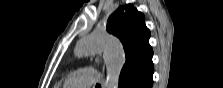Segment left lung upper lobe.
<instances>
[{"label": "left lung upper lobe", "instance_id": "5c2ea615", "mask_svg": "<svg viewBox=\"0 0 223 88\" xmlns=\"http://www.w3.org/2000/svg\"><path fill=\"white\" fill-rule=\"evenodd\" d=\"M106 29L120 39L125 50L126 62L120 78L133 70L143 69L152 61L150 31L144 23V15L133 5L119 7L109 17Z\"/></svg>", "mask_w": 223, "mask_h": 88}]
</instances>
